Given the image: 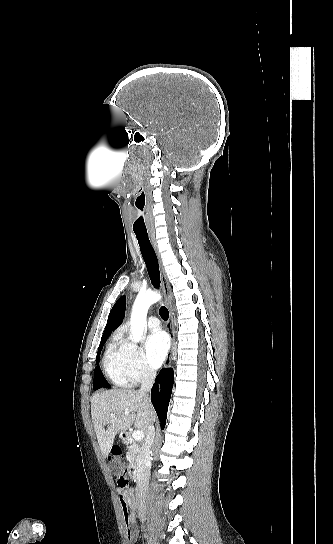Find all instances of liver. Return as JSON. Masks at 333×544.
<instances>
[{"instance_id": "1", "label": "liver", "mask_w": 333, "mask_h": 544, "mask_svg": "<svg viewBox=\"0 0 333 544\" xmlns=\"http://www.w3.org/2000/svg\"><path fill=\"white\" fill-rule=\"evenodd\" d=\"M127 413V414H125ZM91 415L96 437L104 458L110 453L115 436L132 425L147 431L155 420V411L146 395L131 389H113L95 394ZM108 428L105 430V426Z\"/></svg>"}]
</instances>
